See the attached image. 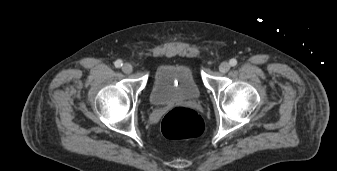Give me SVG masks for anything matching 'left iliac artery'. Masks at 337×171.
<instances>
[{"mask_svg": "<svg viewBox=\"0 0 337 171\" xmlns=\"http://www.w3.org/2000/svg\"><path fill=\"white\" fill-rule=\"evenodd\" d=\"M229 63H230V65H231V66H233V67H234V66H236V65H237V60L233 58V59H231V60H230V62H229Z\"/></svg>", "mask_w": 337, "mask_h": 171, "instance_id": "44dca946", "label": "left iliac artery"}]
</instances>
